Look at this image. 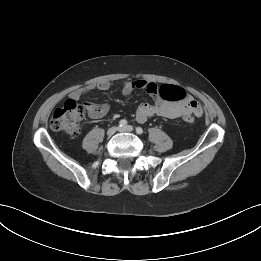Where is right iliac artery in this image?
Here are the masks:
<instances>
[{
	"mask_svg": "<svg viewBox=\"0 0 261 261\" xmlns=\"http://www.w3.org/2000/svg\"><path fill=\"white\" fill-rule=\"evenodd\" d=\"M126 125H127V121L125 119H122V120L119 121V126L120 127H124Z\"/></svg>",
	"mask_w": 261,
	"mask_h": 261,
	"instance_id": "right-iliac-artery-1",
	"label": "right iliac artery"
}]
</instances>
